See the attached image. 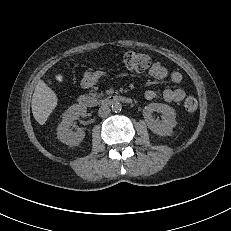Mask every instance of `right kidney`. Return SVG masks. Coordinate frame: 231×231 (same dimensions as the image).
I'll list each match as a JSON object with an SVG mask.
<instances>
[{"label":"right kidney","mask_w":231,"mask_h":231,"mask_svg":"<svg viewBox=\"0 0 231 231\" xmlns=\"http://www.w3.org/2000/svg\"><path fill=\"white\" fill-rule=\"evenodd\" d=\"M86 114L87 108L79 104L73 105L65 111L63 120L57 128V136L61 142L70 146L79 145L85 137V132L83 130L73 132L71 125L79 116L84 117Z\"/></svg>","instance_id":"obj_1"}]
</instances>
